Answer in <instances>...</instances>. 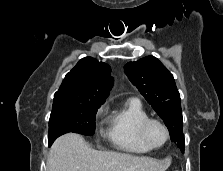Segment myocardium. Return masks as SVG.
Listing matches in <instances>:
<instances>
[{
    "label": "myocardium",
    "mask_w": 223,
    "mask_h": 171,
    "mask_svg": "<svg viewBox=\"0 0 223 171\" xmlns=\"http://www.w3.org/2000/svg\"><path fill=\"white\" fill-rule=\"evenodd\" d=\"M152 124L160 125L165 132V140L163 141V143L159 145L154 144L149 138L148 131ZM140 136L142 140L145 142V144L149 146L151 149H158L163 147L168 142L170 137V132L167 125L162 120L149 117L145 121H143V123L140 126Z\"/></svg>",
    "instance_id": "myocardium-1"
}]
</instances>
